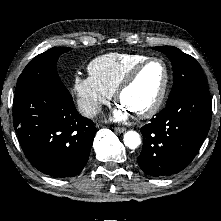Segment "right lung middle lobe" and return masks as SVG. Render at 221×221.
Listing matches in <instances>:
<instances>
[{
	"label": "right lung middle lobe",
	"instance_id": "1",
	"mask_svg": "<svg viewBox=\"0 0 221 221\" xmlns=\"http://www.w3.org/2000/svg\"><path fill=\"white\" fill-rule=\"evenodd\" d=\"M70 50L68 47L51 48L32 59L19 76L14 102L37 91L49 90L68 94L69 91L57 74L56 63L61 54Z\"/></svg>",
	"mask_w": 221,
	"mask_h": 221
}]
</instances>
